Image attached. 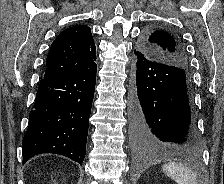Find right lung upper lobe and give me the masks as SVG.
I'll return each mask as SVG.
<instances>
[{
  "mask_svg": "<svg viewBox=\"0 0 224 184\" xmlns=\"http://www.w3.org/2000/svg\"><path fill=\"white\" fill-rule=\"evenodd\" d=\"M96 60L91 29L86 25L72 26L53 41L46 59L44 77H56L84 70Z\"/></svg>",
  "mask_w": 224,
  "mask_h": 184,
  "instance_id": "obj_1",
  "label": "right lung upper lobe"
}]
</instances>
